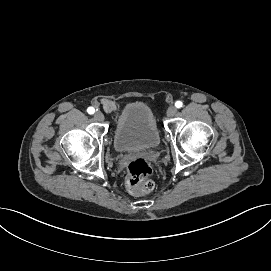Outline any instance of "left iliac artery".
Listing matches in <instances>:
<instances>
[{
  "label": "left iliac artery",
  "mask_w": 271,
  "mask_h": 271,
  "mask_svg": "<svg viewBox=\"0 0 271 271\" xmlns=\"http://www.w3.org/2000/svg\"><path fill=\"white\" fill-rule=\"evenodd\" d=\"M182 105H183V103H182L181 101H177V102L175 103V106H176L177 108L182 107Z\"/></svg>",
  "instance_id": "44dca946"
}]
</instances>
